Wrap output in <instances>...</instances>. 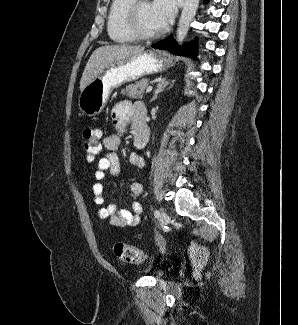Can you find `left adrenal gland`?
I'll list each match as a JSON object with an SVG mask.
<instances>
[{
	"mask_svg": "<svg viewBox=\"0 0 298 325\" xmlns=\"http://www.w3.org/2000/svg\"><path fill=\"white\" fill-rule=\"evenodd\" d=\"M168 84H170L169 78H162V80H159L157 88H155L153 96L152 98H150L149 102H152V100H156V98H158L159 92H161V90H164V88H166Z\"/></svg>",
	"mask_w": 298,
	"mask_h": 325,
	"instance_id": "obj_1",
	"label": "left adrenal gland"
}]
</instances>
